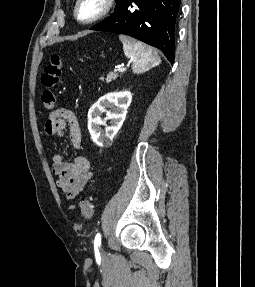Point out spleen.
Returning a JSON list of instances; mask_svg holds the SVG:
<instances>
[{
    "mask_svg": "<svg viewBox=\"0 0 255 287\" xmlns=\"http://www.w3.org/2000/svg\"><path fill=\"white\" fill-rule=\"evenodd\" d=\"M119 40L123 44L125 56L131 58L132 62H134V72L141 70V68H154V66L160 64L161 60L159 56H155L152 48H149L146 44L132 40V38H127V36H119ZM151 54H154L155 58L150 62Z\"/></svg>",
    "mask_w": 255,
    "mask_h": 287,
    "instance_id": "3e777b00",
    "label": "spleen"
}]
</instances>
